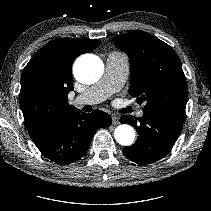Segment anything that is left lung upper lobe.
Here are the masks:
<instances>
[{"label": "left lung upper lobe", "instance_id": "obj_1", "mask_svg": "<svg viewBox=\"0 0 211 211\" xmlns=\"http://www.w3.org/2000/svg\"><path fill=\"white\" fill-rule=\"evenodd\" d=\"M112 40L129 56V93L138 103H145L143 110L170 105L185 107L187 84L172 47L143 31L129 32Z\"/></svg>", "mask_w": 211, "mask_h": 211}]
</instances>
